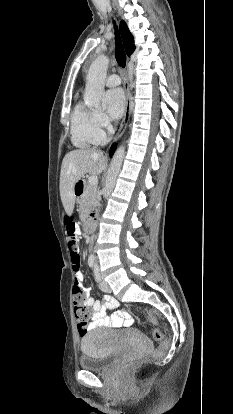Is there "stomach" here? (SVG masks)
Masks as SVG:
<instances>
[{
    "label": "stomach",
    "instance_id": "1",
    "mask_svg": "<svg viewBox=\"0 0 233 414\" xmlns=\"http://www.w3.org/2000/svg\"><path fill=\"white\" fill-rule=\"evenodd\" d=\"M74 194H75V188H74ZM76 195H81V190L79 188L76 190Z\"/></svg>",
    "mask_w": 233,
    "mask_h": 414
}]
</instances>
